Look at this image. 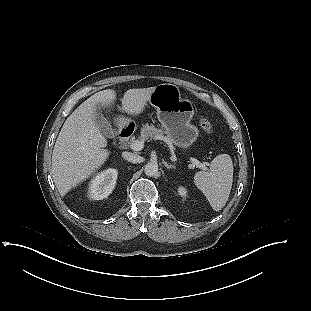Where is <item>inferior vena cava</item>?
Listing matches in <instances>:
<instances>
[{
  "mask_svg": "<svg viewBox=\"0 0 311 311\" xmlns=\"http://www.w3.org/2000/svg\"><path fill=\"white\" fill-rule=\"evenodd\" d=\"M129 160L133 163H140L142 158L139 155H135V154H130L129 155Z\"/></svg>",
  "mask_w": 311,
  "mask_h": 311,
  "instance_id": "602c4592",
  "label": "inferior vena cava"
}]
</instances>
